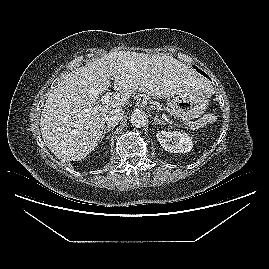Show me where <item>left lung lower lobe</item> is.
I'll use <instances>...</instances> for the list:
<instances>
[{"label":"left lung lower lobe","instance_id":"0a47b994","mask_svg":"<svg viewBox=\"0 0 269 269\" xmlns=\"http://www.w3.org/2000/svg\"><path fill=\"white\" fill-rule=\"evenodd\" d=\"M194 68H195V69H197V67H195V66H194ZM197 71H198V72H200L202 75H204V76L208 77V75H207V74H205V73H204L202 70L197 69ZM208 78H209V77H208ZM209 79H210V78H209Z\"/></svg>","mask_w":269,"mask_h":269}]
</instances>
